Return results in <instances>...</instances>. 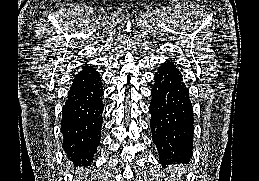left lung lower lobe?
Listing matches in <instances>:
<instances>
[{"label": "left lung lower lobe", "instance_id": "left-lung-lower-lobe-1", "mask_svg": "<svg viewBox=\"0 0 259 181\" xmlns=\"http://www.w3.org/2000/svg\"><path fill=\"white\" fill-rule=\"evenodd\" d=\"M151 96L150 126L160 163L192 156L193 108L183 75L173 62L167 60L158 68Z\"/></svg>", "mask_w": 259, "mask_h": 181}]
</instances>
